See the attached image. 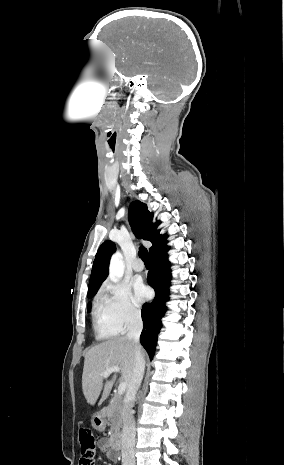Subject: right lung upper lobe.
Segmentation results:
<instances>
[{
	"label": "right lung upper lobe",
	"mask_w": 284,
	"mask_h": 465,
	"mask_svg": "<svg viewBox=\"0 0 284 465\" xmlns=\"http://www.w3.org/2000/svg\"><path fill=\"white\" fill-rule=\"evenodd\" d=\"M128 214L130 224L138 235L152 243L149 255L166 244L167 234L160 235L159 230H156L160 222L152 223L153 214L148 211L144 203L138 200L133 201L129 206ZM115 250V244L110 240L105 241L98 249L93 262L87 296L96 294L106 279L110 258Z\"/></svg>",
	"instance_id": "obj_1"
}]
</instances>
